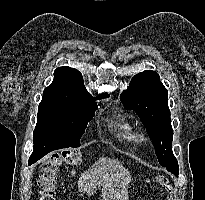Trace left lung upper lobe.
<instances>
[{
    "label": "left lung upper lobe",
    "mask_w": 205,
    "mask_h": 200,
    "mask_svg": "<svg viewBox=\"0 0 205 200\" xmlns=\"http://www.w3.org/2000/svg\"><path fill=\"white\" fill-rule=\"evenodd\" d=\"M120 99L124 107L134 110L146 126L159 163L164 167H175L178 162L172 152L168 91L160 76L150 70L136 74Z\"/></svg>",
    "instance_id": "1"
}]
</instances>
